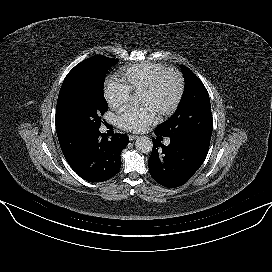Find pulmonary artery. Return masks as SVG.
<instances>
[{
  "mask_svg": "<svg viewBox=\"0 0 272 272\" xmlns=\"http://www.w3.org/2000/svg\"><path fill=\"white\" fill-rule=\"evenodd\" d=\"M165 144H167V145H168V144H169V140H166V141H165Z\"/></svg>",
  "mask_w": 272,
  "mask_h": 272,
  "instance_id": "e3ab8cb5",
  "label": "pulmonary artery"
}]
</instances>
